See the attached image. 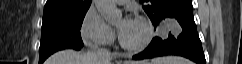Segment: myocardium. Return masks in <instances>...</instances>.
<instances>
[{"label":"myocardium","instance_id":"myocardium-1","mask_svg":"<svg viewBox=\"0 0 242 64\" xmlns=\"http://www.w3.org/2000/svg\"><path fill=\"white\" fill-rule=\"evenodd\" d=\"M137 22L143 26V28L145 30V36L142 39V41H140L139 43H136V44L128 43L127 41L124 40L123 37H120V44L126 50H129V51L142 50L149 45V43L151 42V40L153 38L154 29H153V25L151 24V22L143 17H139L137 19Z\"/></svg>","mask_w":242,"mask_h":64}]
</instances>
